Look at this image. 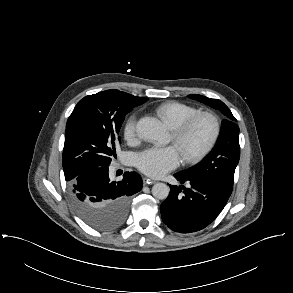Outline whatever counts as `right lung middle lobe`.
I'll use <instances>...</instances> for the list:
<instances>
[{
  "mask_svg": "<svg viewBox=\"0 0 293 293\" xmlns=\"http://www.w3.org/2000/svg\"><path fill=\"white\" fill-rule=\"evenodd\" d=\"M142 104L135 96L106 90L80 100L68 118L63 150V170L68 181L75 210L90 226L112 230L120 226L123 217L118 214L95 215L79 209L71 193V185L83 171L109 166L116 157L115 146L120 143L119 131L125 116Z\"/></svg>",
  "mask_w": 293,
  "mask_h": 293,
  "instance_id": "1",
  "label": "right lung middle lobe"
}]
</instances>
